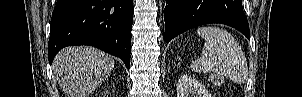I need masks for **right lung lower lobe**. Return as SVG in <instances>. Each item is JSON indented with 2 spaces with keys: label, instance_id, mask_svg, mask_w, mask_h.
<instances>
[{
  "label": "right lung lower lobe",
  "instance_id": "98d812e1",
  "mask_svg": "<svg viewBox=\"0 0 302 97\" xmlns=\"http://www.w3.org/2000/svg\"><path fill=\"white\" fill-rule=\"evenodd\" d=\"M133 0H57L52 13L49 62L69 45H89L130 67Z\"/></svg>",
  "mask_w": 302,
  "mask_h": 97
}]
</instances>
